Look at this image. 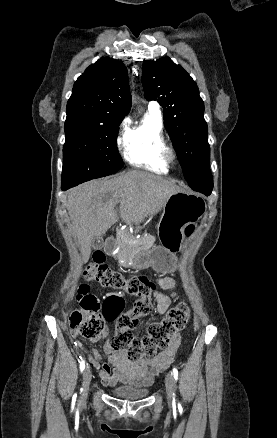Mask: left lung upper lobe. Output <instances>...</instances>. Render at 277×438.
Listing matches in <instances>:
<instances>
[{"mask_svg":"<svg viewBox=\"0 0 277 438\" xmlns=\"http://www.w3.org/2000/svg\"><path fill=\"white\" fill-rule=\"evenodd\" d=\"M142 83L145 98L157 100L164 108L165 127L189 186L211 193L208 129L196 82L180 65L164 57L143 63Z\"/></svg>","mask_w":277,"mask_h":438,"instance_id":"obj_1","label":"left lung upper lobe"}]
</instances>
